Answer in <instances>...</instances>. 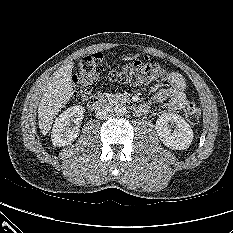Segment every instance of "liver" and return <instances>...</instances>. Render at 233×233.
Returning <instances> with one entry per match:
<instances>
[{"label": "liver", "instance_id": "obj_1", "mask_svg": "<svg viewBox=\"0 0 233 233\" xmlns=\"http://www.w3.org/2000/svg\"><path fill=\"white\" fill-rule=\"evenodd\" d=\"M73 66L71 62L58 68L44 90L38 107V125L44 135L50 130L57 113L73 95Z\"/></svg>", "mask_w": 233, "mask_h": 233}]
</instances>
